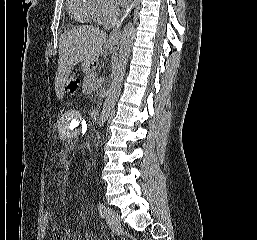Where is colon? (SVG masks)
Here are the masks:
<instances>
[{"label":"colon","mask_w":257,"mask_h":240,"mask_svg":"<svg viewBox=\"0 0 257 240\" xmlns=\"http://www.w3.org/2000/svg\"><path fill=\"white\" fill-rule=\"evenodd\" d=\"M79 84H80V77L78 74L73 73L69 76V78L67 79L65 88L66 91L71 94L74 95L77 93L78 89H79ZM50 220H51V214L50 211L48 209H46L43 213L42 216V223H41V227H42V232L45 234L47 232V230L49 229V225H50Z\"/></svg>","instance_id":"1"}]
</instances>
